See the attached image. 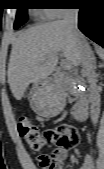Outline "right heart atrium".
<instances>
[{
    "instance_id": "d8ad5b80",
    "label": "right heart atrium",
    "mask_w": 104,
    "mask_h": 169,
    "mask_svg": "<svg viewBox=\"0 0 104 169\" xmlns=\"http://www.w3.org/2000/svg\"><path fill=\"white\" fill-rule=\"evenodd\" d=\"M71 9H45L44 17L46 19H59L66 15Z\"/></svg>"
}]
</instances>
